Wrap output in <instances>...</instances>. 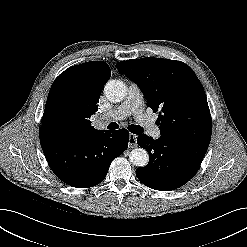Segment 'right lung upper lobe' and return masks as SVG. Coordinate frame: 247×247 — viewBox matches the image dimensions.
Instances as JSON below:
<instances>
[{"label":"right lung upper lobe","mask_w":247,"mask_h":247,"mask_svg":"<svg viewBox=\"0 0 247 247\" xmlns=\"http://www.w3.org/2000/svg\"><path fill=\"white\" fill-rule=\"evenodd\" d=\"M111 76L103 61L75 65L53 82L40 131H48L76 140H84L103 131L91 126L90 117L97 111V101Z\"/></svg>","instance_id":"right-lung-upper-lobe-1"}]
</instances>
